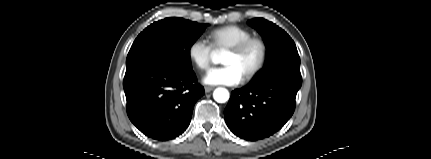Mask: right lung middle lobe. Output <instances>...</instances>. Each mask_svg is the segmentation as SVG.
<instances>
[{
  "instance_id": "right-lung-middle-lobe-1",
  "label": "right lung middle lobe",
  "mask_w": 431,
  "mask_h": 159,
  "mask_svg": "<svg viewBox=\"0 0 431 159\" xmlns=\"http://www.w3.org/2000/svg\"><path fill=\"white\" fill-rule=\"evenodd\" d=\"M205 28V24L175 17L154 22L135 39L127 55L126 68L148 60H162L191 70L190 48Z\"/></svg>"
}]
</instances>
